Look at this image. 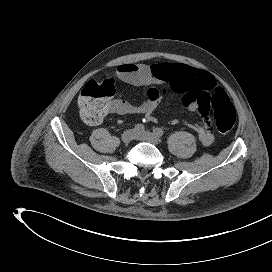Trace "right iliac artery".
<instances>
[{"label": "right iliac artery", "instance_id": "1", "mask_svg": "<svg viewBox=\"0 0 272 272\" xmlns=\"http://www.w3.org/2000/svg\"><path fill=\"white\" fill-rule=\"evenodd\" d=\"M144 129H145V127H144V125L143 124H137V125H135V127H134V130L136 131V132H143L144 131Z\"/></svg>", "mask_w": 272, "mask_h": 272}]
</instances>
